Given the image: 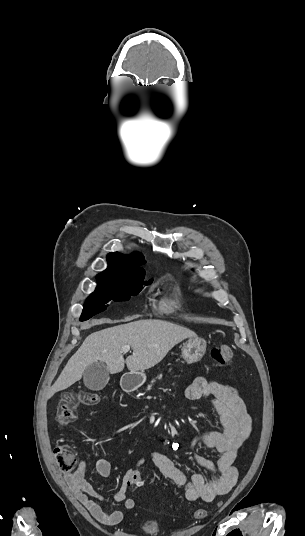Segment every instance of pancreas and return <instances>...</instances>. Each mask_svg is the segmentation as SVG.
Instances as JSON below:
<instances>
[{
  "label": "pancreas",
  "instance_id": "cf45deb5",
  "mask_svg": "<svg viewBox=\"0 0 305 536\" xmlns=\"http://www.w3.org/2000/svg\"><path fill=\"white\" fill-rule=\"evenodd\" d=\"M163 374H159V376H157V378H155V380H152L151 384H149L147 390H151V386H153L154 382H156V380H161Z\"/></svg>",
  "mask_w": 305,
  "mask_h": 536
}]
</instances>
